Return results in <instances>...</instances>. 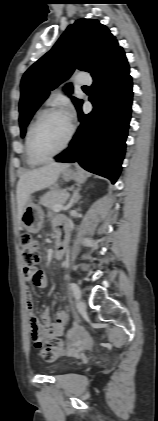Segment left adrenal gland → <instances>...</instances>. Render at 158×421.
<instances>
[{"label": "left adrenal gland", "instance_id": "a2214340", "mask_svg": "<svg viewBox=\"0 0 158 421\" xmlns=\"http://www.w3.org/2000/svg\"><path fill=\"white\" fill-rule=\"evenodd\" d=\"M79 191H80V186L77 189L74 190L72 202H71V207L74 206V204H76L79 201V199L81 198V195H80Z\"/></svg>", "mask_w": 158, "mask_h": 421}]
</instances>
